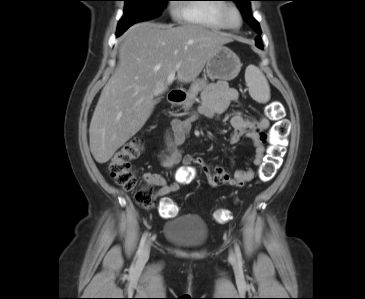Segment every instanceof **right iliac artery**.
Wrapping results in <instances>:
<instances>
[{
	"instance_id": "1",
	"label": "right iliac artery",
	"mask_w": 365,
	"mask_h": 299,
	"mask_svg": "<svg viewBox=\"0 0 365 299\" xmlns=\"http://www.w3.org/2000/svg\"><path fill=\"white\" fill-rule=\"evenodd\" d=\"M146 239H147V233H144L142 238H141V241H140V244H139V248H138V251H137V255L140 256L142 251H143V247L145 245V242H146Z\"/></svg>"
}]
</instances>
